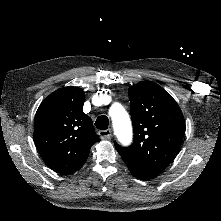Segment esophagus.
Here are the masks:
<instances>
[{
	"label": "esophagus",
	"mask_w": 221,
	"mask_h": 221,
	"mask_svg": "<svg viewBox=\"0 0 221 221\" xmlns=\"http://www.w3.org/2000/svg\"><path fill=\"white\" fill-rule=\"evenodd\" d=\"M111 133H112L111 129L100 130V131L98 132L100 138H101L102 140H106V141H108V140L111 139Z\"/></svg>",
	"instance_id": "obj_1"
}]
</instances>
